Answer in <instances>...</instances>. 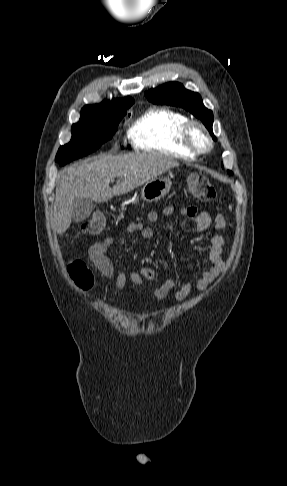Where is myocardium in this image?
<instances>
[{"label": "myocardium", "instance_id": "f54148a6", "mask_svg": "<svg viewBox=\"0 0 287 486\" xmlns=\"http://www.w3.org/2000/svg\"><path fill=\"white\" fill-rule=\"evenodd\" d=\"M199 133L206 142L205 146H200L195 141L194 135ZM181 140L183 145L195 155L208 153L213 148V140L204 125L198 121H188L181 130Z\"/></svg>", "mask_w": 287, "mask_h": 486}]
</instances>
